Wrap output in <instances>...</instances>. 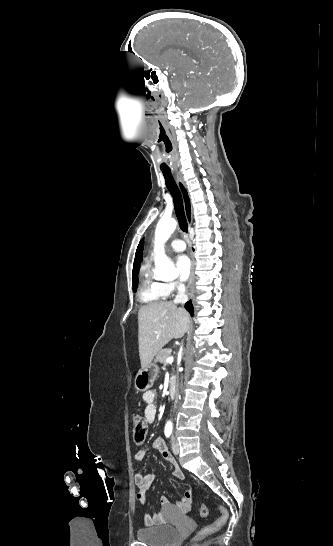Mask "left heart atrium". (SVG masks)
I'll use <instances>...</instances> for the list:
<instances>
[{
    "label": "left heart atrium",
    "instance_id": "left-heart-atrium-1",
    "mask_svg": "<svg viewBox=\"0 0 333 546\" xmlns=\"http://www.w3.org/2000/svg\"><path fill=\"white\" fill-rule=\"evenodd\" d=\"M177 274L181 280H186L191 273L192 263L188 256L178 255L175 260Z\"/></svg>",
    "mask_w": 333,
    "mask_h": 546
}]
</instances>
